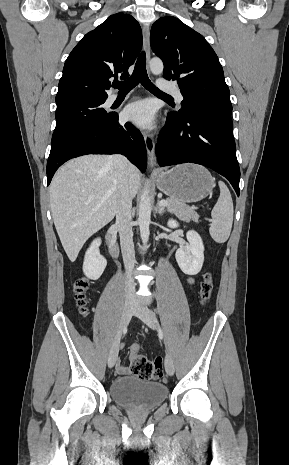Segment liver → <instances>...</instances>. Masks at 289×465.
Listing matches in <instances>:
<instances>
[{"instance_id":"obj_1","label":"liver","mask_w":289,"mask_h":465,"mask_svg":"<svg viewBox=\"0 0 289 465\" xmlns=\"http://www.w3.org/2000/svg\"><path fill=\"white\" fill-rule=\"evenodd\" d=\"M126 175L131 198L140 172L131 163ZM118 174L110 156L85 155L61 166L50 185V206L62 246L74 262L84 243L116 214Z\"/></svg>"}]
</instances>
